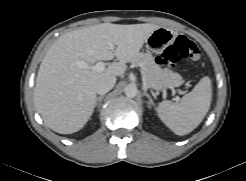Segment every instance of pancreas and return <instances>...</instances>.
<instances>
[{
	"label": "pancreas",
	"instance_id": "pancreas-1",
	"mask_svg": "<svg viewBox=\"0 0 246 181\" xmlns=\"http://www.w3.org/2000/svg\"><path fill=\"white\" fill-rule=\"evenodd\" d=\"M132 63L141 68L143 83L148 88L161 90L172 81H181V76L179 74L173 73L168 69H161V67L155 63V60L150 53H139L132 60Z\"/></svg>",
	"mask_w": 246,
	"mask_h": 181
}]
</instances>
